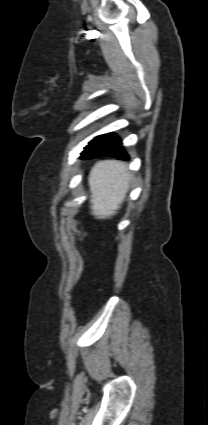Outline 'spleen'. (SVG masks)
Here are the masks:
<instances>
[{
	"label": "spleen",
	"instance_id": "obj_1",
	"mask_svg": "<svg viewBox=\"0 0 208 425\" xmlns=\"http://www.w3.org/2000/svg\"><path fill=\"white\" fill-rule=\"evenodd\" d=\"M132 175L115 160L97 162L89 175L92 214L99 219L116 214L130 187Z\"/></svg>",
	"mask_w": 208,
	"mask_h": 425
}]
</instances>
